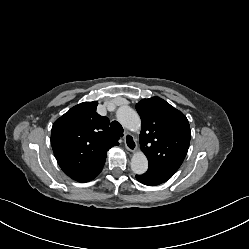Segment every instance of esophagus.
<instances>
[{
    "label": "esophagus",
    "mask_w": 249,
    "mask_h": 249,
    "mask_svg": "<svg viewBox=\"0 0 249 249\" xmlns=\"http://www.w3.org/2000/svg\"><path fill=\"white\" fill-rule=\"evenodd\" d=\"M124 144L125 147L131 152H134L137 149L136 141L134 137L129 133H126L124 136Z\"/></svg>",
    "instance_id": "obj_1"
}]
</instances>
